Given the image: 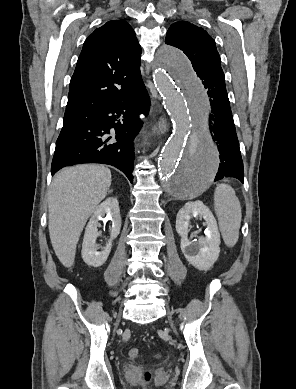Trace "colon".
<instances>
[{"label":"colon","instance_id":"obj_1","mask_svg":"<svg viewBox=\"0 0 296 389\" xmlns=\"http://www.w3.org/2000/svg\"><path fill=\"white\" fill-rule=\"evenodd\" d=\"M129 357L132 359H136L139 357V350L136 348H132L129 350ZM143 379L146 383L150 382L151 380V373L149 371H146L143 375Z\"/></svg>","mask_w":296,"mask_h":389}]
</instances>
